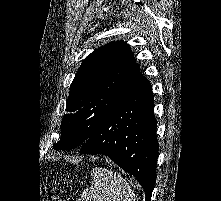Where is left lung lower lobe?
<instances>
[{
	"mask_svg": "<svg viewBox=\"0 0 221 201\" xmlns=\"http://www.w3.org/2000/svg\"><path fill=\"white\" fill-rule=\"evenodd\" d=\"M149 81L117 103L81 146V154L107 155L134 175L151 201L159 144Z\"/></svg>",
	"mask_w": 221,
	"mask_h": 201,
	"instance_id": "1",
	"label": "left lung lower lobe"
}]
</instances>
